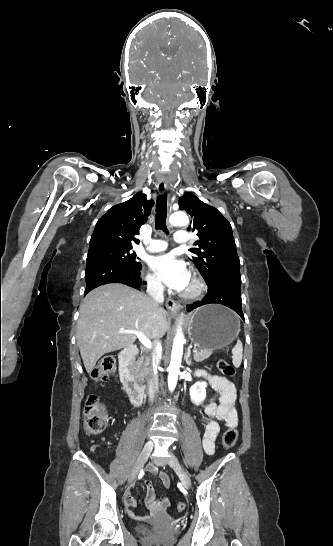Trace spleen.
<instances>
[{
	"mask_svg": "<svg viewBox=\"0 0 333 546\" xmlns=\"http://www.w3.org/2000/svg\"><path fill=\"white\" fill-rule=\"evenodd\" d=\"M240 331V323L238 327V332ZM242 352H243V345L240 340L237 341L236 345L232 349V363L233 365L238 368L241 365L242 362Z\"/></svg>",
	"mask_w": 333,
	"mask_h": 546,
	"instance_id": "spleen-1",
	"label": "spleen"
}]
</instances>
